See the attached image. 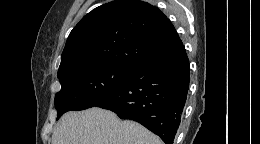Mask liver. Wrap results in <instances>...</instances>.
<instances>
[{"label":"liver","instance_id":"obj_1","mask_svg":"<svg viewBox=\"0 0 260 144\" xmlns=\"http://www.w3.org/2000/svg\"><path fill=\"white\" fill-rule=\"evenodd\" d=\"M52 144H162L159 137L134 121H121L109 110L93 107L64 114Z\"/></svg>","mask_w":260,"mask_h":144}]
</instances>
